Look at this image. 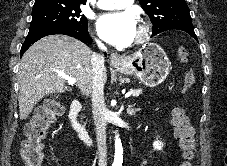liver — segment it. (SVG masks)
I'll use <instances>...</instances> for the list:
<instances>
[{
	"instance_id": "1",
	"label": "liver",
	"mask_w": 227,
	"mask_h": 166,
	"mask_svg": "<svg viewBox=\"0 0 227 166\" xmlns=\"http://www.w3.org/2000/svg\"><path fill=\"white\" fill-rule=\"evenodd\" d=\"M93 54L87 45L66 35H50L33 44L19 67L20 119L25 120L45 96L66 90L60 74L76 79L83 95L92 93Z\"/></svg>"
}]
</instances>
